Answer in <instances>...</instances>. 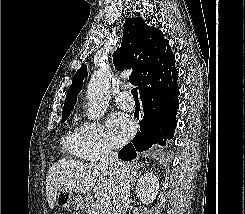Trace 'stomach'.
<instances>
[{"instance_id":"stomach-1","label":"stomach","mask_w":245,"mask_h":214,"mask_svg":"<svg viewBox=\"0 0 245 214\" xmlns=\"http://www.w3.org/2000/svg\"><path fill=\"white\" fill-rule=\"evenodd\" d=\"M56 205L64 209L70 206L76 209H86L89 206V199L81 195L74 196L71 191L60 189L57 195Z\"/></svg>"}]
</instances>
